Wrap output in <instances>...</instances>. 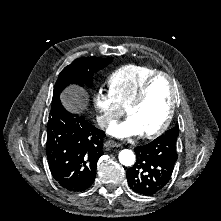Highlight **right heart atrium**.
Listing matches in <instances>:
<instances>
[{
  "label": "right heart atrium",
  "mask_w": 221,
  "mask_h": 221,
  "mask_svg": "<svg viewBox=\"0 0 221 221\" xmlns=\"http://www.w3.org/2000/svg\"><path fill=\"white\" fill-rule=\"evenodd\" d=\"M94 106L97 112V122L103 128L114 123L121 113V105L115 95L103 89L95 93Z\"/></svg>",
  "instance_id": "d8ad5b80"
}]
</instances>
